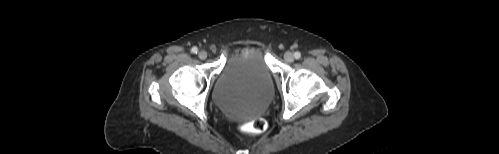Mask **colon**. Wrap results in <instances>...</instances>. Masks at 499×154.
<instances>
[{
	"mask_svg": "<svg viewBox=\"0 0 499 154\" xmlns=\"http://www.w3.org/2000/svg\"><path fill=\"white\" fill-rule=\"evenodd\" d=\"M242 129L249 133H261L266 129V123L263 119L257 118L245 124Z\"/></svg>",
	"mask_w": 499,
	"mask_h": 154,
	"instance_id": "5ec220e1",
	"label": "colon"
}]
</instances>
